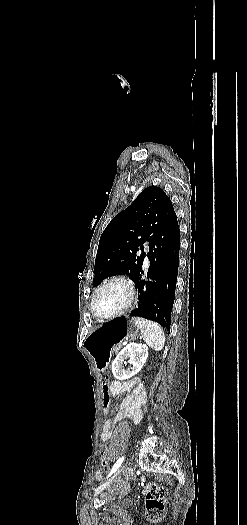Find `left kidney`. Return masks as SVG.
Returning <instances> with one entry per match:
<instances>
[{"label": "left kidney", "mask_w": 247, "mask_h": 525, "mask_svg": "<svg viewBox=\"0 0 247 525\" xmlns=\"http://www.w3.org/2000/svg\"><path fill=\"white\" fill-rule=\"evenodd\" d=\"M148 357V347L147 345H142V343H129L126 345L120 353H118L114 363H112V373L114 377H120V375H125V371L120 369L119 365L124 361V359H129L127 363H130L131 371H127V377H133L141 371L144 363H146Z\"/></svg>", "instance_id": "obj_1"}]
</instances>
